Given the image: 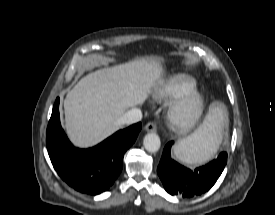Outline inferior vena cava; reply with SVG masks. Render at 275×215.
Wrapping results in <instances>:
<instances>
[{"instance_id":"inferior-vena-cava-1","label":"inferior vena cava","mask_w":275,"mask_h":215,"mask_svg":"<svg viewBox=\"0 0 275 215\" xmlns=\"http://www.w3.org/2000/svg\"><path fill=\"white\" fill-rule=\"evenodd\" d=\"M142 119V112L138 108H132L125 112L118 120L117 124H134Z\"/></svg>"}]
</instances>
